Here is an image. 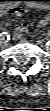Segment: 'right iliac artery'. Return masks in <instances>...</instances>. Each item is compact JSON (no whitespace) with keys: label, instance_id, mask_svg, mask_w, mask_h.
<instances>
[{"label":"right iliac artery","instance_id":"82829eb1","mask_svg":"<svg viewBox=\"0 0 50 111\" xmlns=\"http://www.w3.org/2000/svg\"><path fill=\"white\" fill-rule=\"evenodd\" d=\"M0 36H9V35H7V33L6 32H2L1 34H0Z\"/></svg>","mask_w":50,"mask_h":111}]
</instances>
